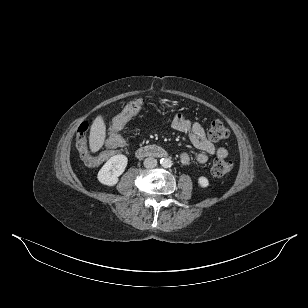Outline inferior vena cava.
<instances>
[{
  "mask_svg": "<svg viewBox=\"0 0 308 308\" xmlns=\"http://www.w3.org/2000/svg\"><path fill=\"white\" fill-rule=\"evenodd\" d=\"M157 165V160L152 157H148L144 160V167L145 168H154Z\"/></svg>",
  "mask_w": 308,
  "mask_h": 308,
  "instance_id": "1",
  "label": "inferior vena cava"
}]
</instances>
